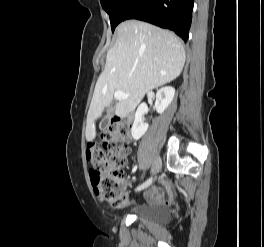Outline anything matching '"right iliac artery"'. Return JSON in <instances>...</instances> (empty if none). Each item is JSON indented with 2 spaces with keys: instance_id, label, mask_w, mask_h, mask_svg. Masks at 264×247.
Wrapping results in <instances>:
<instances>
[{
  "instance_id": "82829eb1",
  "label": "right iliac artery",
  "mask_w": 264,
  "mask_h": 247,
  "mask_svg": "<svg viewBox=\"0 0 264 247\" xmlns=\"http://www.w3.org/2000/svg\"><path fill=\"white\" fill-rule=\"evenodd\" d=\"M152 183V178H149L146 182H144L143 184L139 185L136 190L140 191L145 189L146 187H148L150 184Z\"/></svg>"
}]
</instances>
